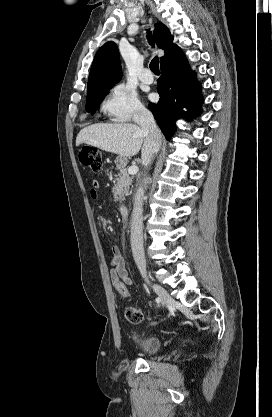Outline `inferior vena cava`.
<instances>
[{"mask_svg": "<svg viewBox=\"0 0 272 417\" xmlns=\"http://www.w3.org/2000/svg\"><path fill=\"white\" fill-rule=\"evenodd\" d=\"M134 121L147 131L156 140L155 151L159 150L161 144V131L158 128L153 114L146 108L141 107L134 115ZM143 196L144 189L137 190L134 200V207L131 222V248L134 261L142 275H146V260L143 248Z\"/></svg>", "mask_w": 272, "mask_h": 417, "instance_id": "602c4592", "label": "inferior vena cava"}]
</instances>
